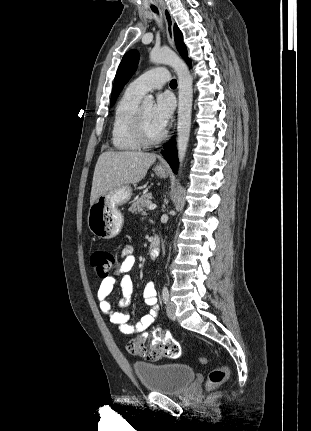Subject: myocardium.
<instances>
[{"instance_id":"1","label":"myocardium","mask_w":311,"mask_h":431,"mask_svg":"<svg viewBox=\"0 0 311 431\" xmlns=\"http://www.w3.org/2000/svg\"><path fill=\"white\" fill-rule=\"evenodd\" d=\"M133 133L134 138L142 146H153L160 143L166 136V132L163 131L162 134L156 138L152 139L148 137L146 130L145 119L142 112V107H138L134 119H133Z\"/></svg>"}]
</instances>
